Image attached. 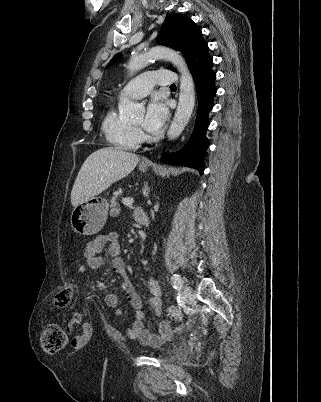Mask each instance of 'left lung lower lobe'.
I'll return each mask as SVG.
<instances>
[{"instance_id":"obj_1","label":"left lung lower lobe","mask_w":321,"mask_h":402,"mask_svg":"<svg viewBox=\"0 0 321 402\" xmlns=\"http://www.w3.org/2000/svg\"><path fill=\"white\" fill-rule=\"evenodd\" d=\"M212 63L208 45L204 42L195 50L188 63L198 97V115L193 134L179 152L175 154L166 152L161 158L164 163L195 168L201 174L204 171L203 156L209 145L206 138V130L209 126L208 113L213 107V97L216 94L214 85L216 74L212 70Z\"/></svg>"}]
</instances>
